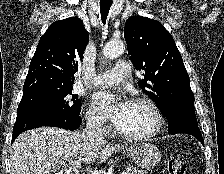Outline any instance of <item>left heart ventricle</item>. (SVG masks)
I'll return each instance as SVG.
<instances>
[{
  "mask_svg": "<svg viewBox=\"0 0 224 174\" xmlns=\"http://www.w3.org/2000/svg\"><path fill=\"white\" fill-rule=\"evenodd\" d=\"M155 125L152 111L145 105L130 103L128 111L118 127L129 134H142L150 131Z\"/></svg>",
  "mask_w": 224,
  "mask_h": 174,
  "instance_id": "left-heart-ventricle-1",
  "label": "left heart ventricle"
}]
</instances>
